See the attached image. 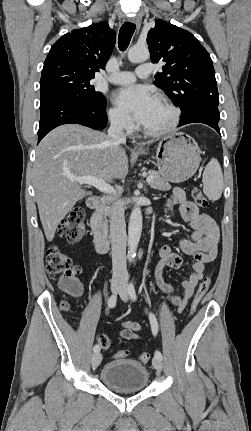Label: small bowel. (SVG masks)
<instances>
[{"instance_id": "1", "label": "small bowel", "mask_w": 251, "mask_h": 431, "mask_svg": "<svg viewBox=\"0 0 251 431\" xmlns=\"http://www.w3.org/2000/svg\"><path fill=\"white\" fill-rule=\"evenodd\" d=\"M174 207H178L181 217L194 230L190 239H182L179 242L181 251L194 259L192 273L188 279L182 281L183 293L181 295H167L165 297L166 302L176 306L178 312H182L192 297L196 285L203 278L206 264L213 261L217 256L219 229L213 218L200 212L193 202L186 199L184 191L180 188L173 189L166 205V209L170 212ZM181 264V257L174 253L170 246L161 247L160 260L155 269V279L164 292L172 293L174 291V287L165 282L162 277L164 267L179 268ZM121 327L119 332L121 338L127 340L140 338L138 334L141 330L140 323L125 320L121 322Z\"/></svg>"}]
</instances>
